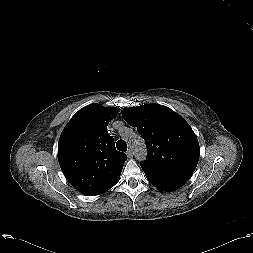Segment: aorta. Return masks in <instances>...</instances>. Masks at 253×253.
Segmentation results:
<instances>
[{"mask_svg":"<svg viewBox=\"0 0 253 253\" xmlns=\"http://www.w3.org/2000/svg\"><path fill=\"white\" fill-rule=\"evenodd\" d=\"M127 140L135 151V157L139 160H144L146 158V148L144 140L138 134L135 133L128 134Z\"/></svg>","mask_w":253,"mask_h":253,"instance_id":"1","label":"aorta"}]
</instances>
